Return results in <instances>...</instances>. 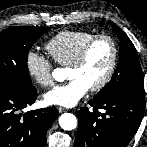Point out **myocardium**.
I'll list each match as a JSON object with an SVG mask.
<instances>
[{
	"label": "myocardium",
	"mask_w": 147,
	"mask_h": 147,
	"mask_svg": "<svg viewBox=\"0 0 147 147\" xmlns=\"http://www.w3.org/2000/svg\"><path fill=\"white\" fill-rule=\"evenodd\" d=\"M105 39L107 41H109V43L111 44V48H112V58H111V62L109 65V68L106 72V74L104 75V77L94 86L90 87V90L93 92H97L100 91L102 89H104L112 80L113 75L115 73L117 64H118V59H119V48H118V44L116 42V40L114 39L113 36H111L110 34L107 33H102V34H97L95 36H93L80 50L79 54L77 55V57L75 58V60L68 66L69 68H79L81 67L92 47L95 45L96 42H98L99 40Z\"/></svg>",
	"instance_id": "myocardium-1"
}]
</instances>
